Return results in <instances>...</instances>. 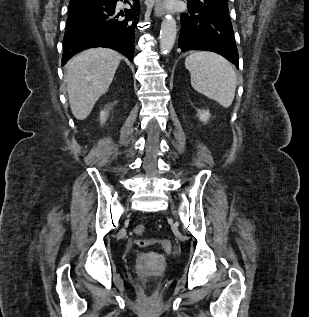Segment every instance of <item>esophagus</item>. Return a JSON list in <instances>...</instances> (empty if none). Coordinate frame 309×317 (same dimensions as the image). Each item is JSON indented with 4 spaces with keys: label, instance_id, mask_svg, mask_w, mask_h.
Segmentation results:
<instances>
[{
    "label": "esophagus",
    "instance_id": "34e87169",
    "mask_svg": "<svg viewBox=\"0 0 309 317\" xmlns=\"http://www.w3.org/2000/svg\"><path fill=\"white\" fill-rule=\"evenodd\" d=\"M154 13L157 17H162L164 15V0H155Z\"/></svg>",
    "mask_w": 309,
    "mask_h": 317
}]
</instances>
